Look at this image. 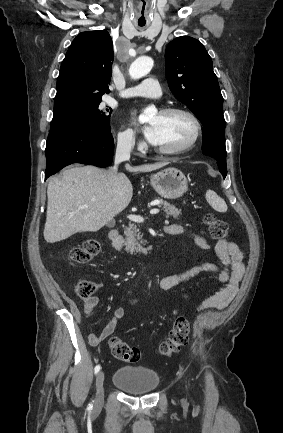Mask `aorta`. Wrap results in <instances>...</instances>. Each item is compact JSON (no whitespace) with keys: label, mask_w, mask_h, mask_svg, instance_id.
<instances>
[{"label":"aorta","mask_w":283,"mask_h":433,"mask_svg":"<svg viewBox=\"0 0 283 433\" xmlns=\"http://www.w3.org/2000/svg\"><path fill=\"white\" fill-rule=\"evenodd\" d=\"M153 67V60L150 57L137 58L129 68V75L131 79L137 80L147 75ZM156 113L155 108H147L139 116V121L145 123L151 120L152 116Z\"/></svg>","instance_id":"obj_1"}]
</instances>
